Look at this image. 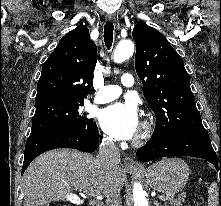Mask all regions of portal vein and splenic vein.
<instances>
[{"instance_id": "18ae733b", "label": "portal vein and splenic vein", "mask_w": 221, "mask_h": 206, "mask_svg": "<svg viewBox=\"0 0 221 206\" xmlns=\"http://www.w3.org/2000/svg\"><path fill=\"white\" fill-rule=\"evenodd\" d=\"M86 193H87L88 195L93 196V197H96V198H102L101 195H100V193L97 192L96 190H93V189H91L90 191H88V192H86ZM76 198L78 199V197H75V200L70 199V201L76 203V202H77V201H76ZM159 199H160V200H165V196H164V195H161V196H159Z\"/></svg>"}]
</instances>
